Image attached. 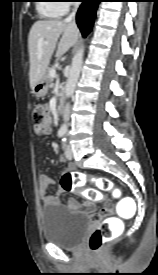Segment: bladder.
Returning a JSON list of instances; mask_svg holds the SVG:
<instances>
[{"label": "bladder", "instance_id": "31cf9c89", "mask_svg": "<svg viewBox=\"0 0 158 275\" xmlns=\"http://www.w3.org/2000/svg\"><path fill=\"white\" fill-rule=\"evenodd\" d=\"M41 216L44 240L63 249L77 248L90 226L86 214L68 211L57 204L43 207Z\"/></svg>", "mask_w": 158, "mask_h": 275}]
</instances>
